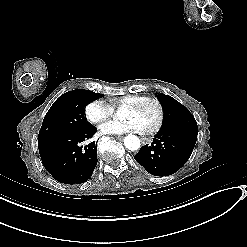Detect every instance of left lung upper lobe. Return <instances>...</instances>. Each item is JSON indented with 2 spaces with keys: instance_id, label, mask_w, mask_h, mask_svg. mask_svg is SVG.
<instances>
[{
  "instance_id": "left-lung-upper-lobe-1",
  "label": "left lung upper lobe",
  "mask_w": 247,
  "mask_h": 247,
  "mask_svg": "<svg viewBox=\"0 0 247 247\" xmlns=\"http://www.w3.org/2000/svg\"><path fill=\"white\" fill-rule=\"evenodd\" d=\"M157 98L164 110V123L161 130H193L198 131L197 123L189 110L169 95L160 93Z\"/></svg>"
}]
</instances>
